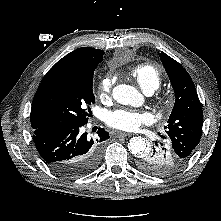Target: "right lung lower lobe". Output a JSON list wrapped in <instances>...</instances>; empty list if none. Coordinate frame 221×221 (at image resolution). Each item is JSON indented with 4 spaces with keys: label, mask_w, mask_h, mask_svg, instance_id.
Returning a JSON list of instances; mask_svg holds the SVG:
<instances>
[{
    "label": "right lung lower lobe",
    "mask_w": 221,
    "mask_h": 221,
    "mask_svg": "<svg viewBox=\"0 0 221 221\" xmlns=\"http://www.w3.org/2000/svg\"><path fill=\"white\" fill-rule=\"evenodd\" d=\"M81 127L38 128L33 131L35 146L46 164L57 174L75 178L91 172L99 163L101 143L109 138L98 129L96 142Z\"/></svg>",
    "instance_id": "obj_1"
}]
</instances>
